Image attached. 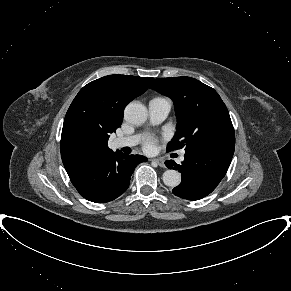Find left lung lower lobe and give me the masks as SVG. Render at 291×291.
I'll list each match as a JSON object with an SVG mask.
<instances>
[{"instance_id": "1", "label": "left lung lower lobe", "mask_w": 291, "mask_h": 291, "mask_svg": "<svg viewBox=\"0 0 291 291\" xmlns=\"http://www.w3.org/2000/svg\"><path fill=\"white\" fill-rule=\"evenodd\" d=\"M234 147L214 146L186 150L181 165L167 160L169 169H177L182 181L172 192L187 200H198L210 194L225 176Z\"/></svg>"}]
</instances>
